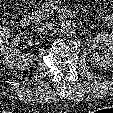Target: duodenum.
<instances>
[{"instance_id": "1", "label": "duodenum", "mask_w": 113, "mask_h": 113, "mask_svg": "<svg viewBox=\"0 0 113 113\" xmlns=\"http://www.w3.org/2000/svg\"><path fill=\"white\" fill-rule=\"evenodd\" d=\"M57 17L62 20L72 19L74 17V12L71 9L63 8L58 12ZM32 23L33 18L30 15L24 16L20 21V25L23 29L30 28Z\"/></svg>"}]
</instances>
